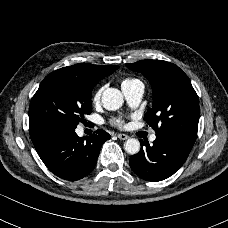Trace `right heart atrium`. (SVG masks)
I'll use <instances>...</instances> for the list:
<instances>
[{
	"label": "right heart atrium",
	"mask_w": 228,
	"mask_h": 228,
	"mask_svg": "<svg viewBox=\"0 0 228 228\" xmlns=\"http://www.w3.org/2000/svg\"><path fill=\"white\" fill-rule=\"evenodd\" d=\"M103 88H104V86L100 87V88L96 91V93L94 94L93 99H94L95 101L98 100V99L100 98L101 93H102V91H103Z\"/></svg>",
	"instance_id": "d8ad5b80"
}]
</instances>
